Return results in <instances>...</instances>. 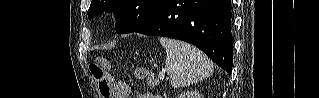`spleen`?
Instances as JSON below:
<instances>
[{
  "label": "spleen",
  "instance_id": "1",
  "mask_svg": "<svg viewBox=\"0 0 319 98\" xmlns=\"http://www.w3.org/2000/svg\"><path fill=\"white\" fill-rule=\"evenodd\" d=\"M166 50L165 69L174 88L185 87L208 78L213 63L199 49L178 40L160 38Z\"/></svg>",
  "mask_w": 319,
  "mask_h": 98
}]
</instances>
